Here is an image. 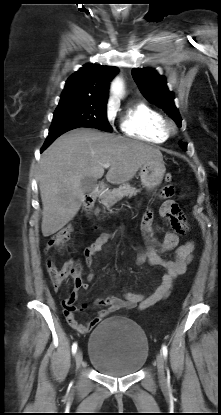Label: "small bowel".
Masks as SVG:
<instances>
[{
  "mask_svg": "<svg viewBox=\"0 0 221 415\" xmlns=\"http://www.w3.org/2000/svg\"><path fill=\"white\" fill-rule=\"evenodd\" d=\"M176 196L177 189L172 186L165 187L161 191L162 198ZM160 213L162 217L166 218L167 223L171 224L174 231H168L165 234L163 241L158 242L153 236V212L148 210L143 214L141 222L142 230L147 241V249L140 250L139 248H136L138 251L137 261L139 263L148 261V263L154 267L164 268L165 273L162 275L158 286L147 295L126 292L122 297L109 295L104 299H99L96 303L105 305L106 308L99 310L96 316L87 323L81 324L75 319L74 312L85 308V304L80 308H77L74 306V302L77 291L79 289L87 290L88 285L80 282L74 286L70 296L62 302L64 315L72 328L81 333H85L97 326L103 318L120 309L137 308L139 310H144L166 299L170 295L174 286V281L186 271L188 264L192 260L195 244L193 241H188L178 246L179 237L177 233L185 232L186 223L184 213L180 210L177 202L166 200L161 207ZM109 240L110 236L103 234L85 250V261L87 265H91L93 256L100 252ZM173 250H175V252L172 259H164L161 256V254ZM93 277L94 275L90 274L88 279L91 280Z\"/></svg>",
  "mask_w": 221,
  "mask_h": 415,
  "instance_id": "obj_1",
  "label": "small bowel"
}]
</instances>
